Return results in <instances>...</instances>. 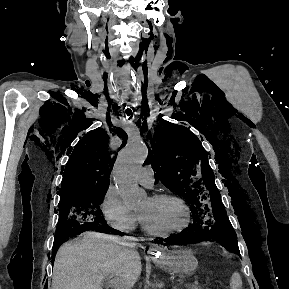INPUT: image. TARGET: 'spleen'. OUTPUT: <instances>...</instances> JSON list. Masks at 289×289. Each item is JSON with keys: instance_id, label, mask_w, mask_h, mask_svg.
Returning <instances> with one entry per match:
<instances>
[{"instance_id": "1", "label": "spleen", "mask_w": 289, "mask_h": 289, "mask_svg": "<svg viewBox=\"0 0 289 289\" xmlns=\"http://www.w3.org/2000/svg\"><path fill=\"white\" fill-rule=\"evenodd\" d=\"M242 288V279L238 272H234L230 280V289H241Z\"/></svg>"}]
</instances>
